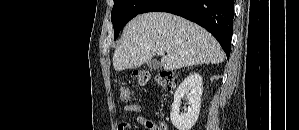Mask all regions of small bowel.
I'll return each instance as SVG.
<instances>
[{"label": "small bowel", "instance_id": "obj_1", "mask_svg": "<svg viewBox=\"0 0 299 130\" xmlns=\"http://www.w3.org/2000/svg\"><path fill=\"white\" fill-rule=\"evenodd\" d=\"M124 112H129V113H133L136 115V121L144 126L145 128H147L148 130H155L156 124H154L151 120L147 119L146 117H144L143 115L140 114L141 112V106L139 104H130V105H126L123 107L122 109ZM166 130L167 127L165 125H162ZM130 129V125L126 122L120 123L117 126V130H129Z\"/></svg>", "mask_w": 299, "mask_h": 130}]
</instances>
